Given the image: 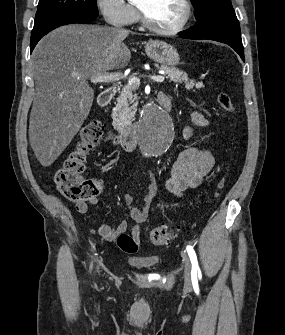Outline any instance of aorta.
Here are the masks:
<instances>
[{
  "mask_svg": "<svg viewBox=\"0 0 285 335\" xmlns=\"http://www.w3.org/2000/svg\"><path fill=\"white\" fill-rule=\"evenodd\" d=\"M134 133L141 137L139 147H146L144 156H165L167 147H174L177 137L176 119H169L163 105L150 100L148 105H142L141 125L134 128Z\"/></svg>",
  "mask_w": 285,
  "mask_h": 335,
  "instance_id": "1",
  "label": "aorta"
}]
</instances>
